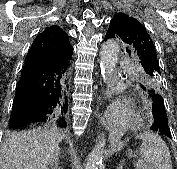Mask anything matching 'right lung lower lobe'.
<instances>
[{
    "mask_svg": "<svg viewBox=\"0 0 177 169\" xmlns=\"http://www.w3.org/2000/svg\"><path fill=\"white\" fill-rule=\"evenodd\" d=\"M68 63L27 57L16 87L9 129L25 128L33 123L67 125Z\"/></svg>",
    "mask_w": 177,
    "mask_h": 169,
    "instance_id": "98d812e1",
    "label": "right lung lower lobe"
}]
</instances>
